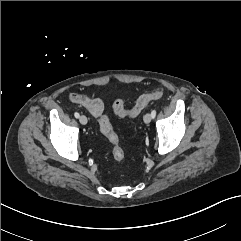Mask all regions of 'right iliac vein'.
I'll list each match as a JSON object with an SVG mask.
<instances>
[{
	"label": "right iliac vein",
	"mask_w": 241,
	"mask_h": 241,
	"mask_svg": "<svg viewBox=\"0 0 241 241\" xmlns=\"http://www.w3.org/2000/svg\"><path fill=\"white\" fill-rule=\"evenodd\" d=\"M79 121H80V123H81L82 125H86L87 122H88L87 117L84 116V115H81V116L79 117Z\"/></svg>",
	"instance_id": "obj_1"
}]
</instances>
